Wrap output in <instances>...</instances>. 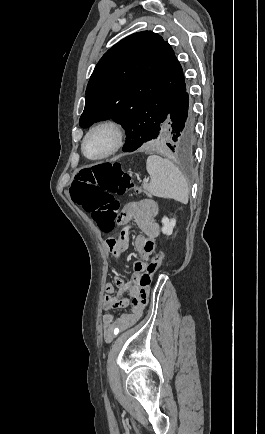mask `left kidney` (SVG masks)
Segmentation results:
<instances>
[{
    "label": "left kidney",
    "instance_id": "5707ae66",
    "mask_svg": "<svg viewBox=\"0 0 265 434\" xmlns=\"http://www.w3.org/2000/svg\"><path fill=\"white\" fill-rule=\"evenodd\" d=\"M162 232L166 236H171L173 234V228H175L176 220H169V218H162Z\"/></svg>",
    "mask_w": 265,
    "mask_h": 434
}]
</instances>
